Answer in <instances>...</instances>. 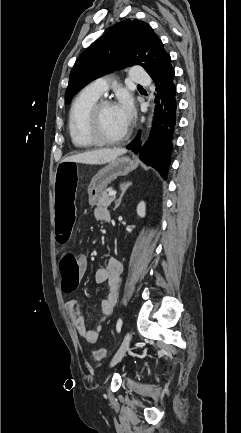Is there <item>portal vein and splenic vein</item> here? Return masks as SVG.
Segmentation results:
<instances>
[{
    "instance_id": "portal-vein-and-splenic-vein-1",
    "label": "portal vein and splenic vein",
    "mask_w": 241,
    "mask_h": 433,
    "mask_svg": "<svg viewBox=\"0 0 241 433\" xmlns=\"http://www.w3.org/2000/svg\"><path fill=\"white\" fill-rule=\"evenodd\" d=\"M116 193H117V192H116L115 190H111V191L109 192V196H111V197H112V196H115Z\"/></svg>"
}]
</instances>
